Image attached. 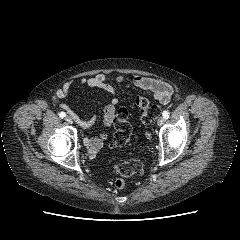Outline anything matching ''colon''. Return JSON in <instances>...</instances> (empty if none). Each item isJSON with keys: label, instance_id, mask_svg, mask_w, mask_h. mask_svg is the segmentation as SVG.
I'll return each instance as SVG.
<instances>
[{"label": "colon", "instance_id": "obj_1", "mask_svg": "<svg viewBox=\"0 0 240 240\" xmlns=\"http://www.w3.org/2000/svg\"><path fill=\"white\" fill-rule=\"evenodd\" d=\"M134 104L142 112V120L145 123L154 121L159 115L160 109L156 105H150L146 98L136 96ZM132 128L128 120V111L121 108L115 117L114 145L125 146L130 142ZM115 171L121 176L115 182V186L122 189L126 186L125 178L143 174L142 163L138 159H131L121 165H116Z\"/></svg>", "mask_w": 240, "mask_h": 240}]
</instances>
